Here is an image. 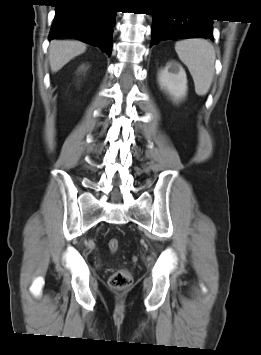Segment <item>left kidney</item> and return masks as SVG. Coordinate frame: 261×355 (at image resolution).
Wrapping results in <instances>:
<instances>
[{
    "instance_id": "5707ae66",
    "label": "left kidney",
    "mask_w": 261,
    "mask_h": 355,
    "mask_svg": "<svg viewBox=\"0 0 261 355\" xmlns=\"http://www.w3.org/2000/svg\"><path fill=\"white\" fill-rule=\"evenodd\" d=\"M169 64L158 73V82L161 89L165 90L175 101H179L187 94V76L185 70L177 65V72H170Z\"/></svg>"
}]
</instances>
